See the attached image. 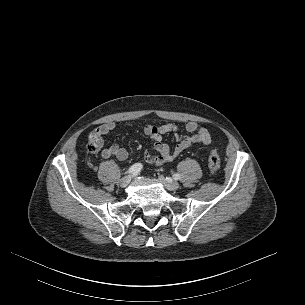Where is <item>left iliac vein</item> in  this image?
<instances>
[{
    "label": "left iliac vein",
    "instance_id": "1",
    "mask_svg": "<svg viewBox=\"0 0 305 305\" xmlns=\"http://www.w3.org/2000/svg\"><path fill=\"white\" fill-rule=\"evenodd\" d=\"M158 179L165 186V188L170 190V191H175L180 187L178 182H176L174 180H171V179H167L162 175H160L158 177Z\"/></svg>",
    "mask_w": 305,
    "mask_h": 305
}]
</instances>
